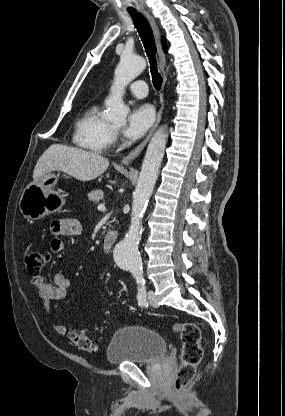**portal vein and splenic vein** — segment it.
Instances as JSON below:
<instances>
[{
    "label": "portal vein and splenic vein",
    "mask_w": 285,
    "mask_h": 416,
    "mask_svg": "<svg viewBox=\"0 0 285 416\" xmlns=\"http://www.w3.org/2000/svg\"><path fill=\"white\" fill-rule=\"evenodd\" d=\"M98 210H100V212H105L106 208H105L104 204H99Z\"/></svg>",
    "instance_id": "obj_1"
}]
</instances>
